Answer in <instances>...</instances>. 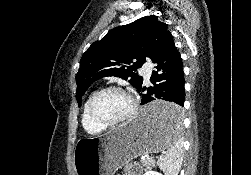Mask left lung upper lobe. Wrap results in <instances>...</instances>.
Masks as SVG:
<instances>
[{
    "label": "left lung upper lobe",
    "instance_id": "5c2ea615",
    "mask_svg": "<svg viewBox=\"0 0 251 175\" xmlns=\"http://www.w3.org/2000/svg\"><path fill=\"white\" fill-rule=\"evenodd\" d=\"M169 34L167 24L151 15L114 28L94 42L83 54L76 75L79 106L90 84L102 77L117 76L125 80L131 77L129 82L140 89L143 78L138 76L137 69L160 52ZM130 63L132 66L125 65Z\"/></svg>",
    "mask_w": 251,
    "mask_h": 175
}]
</instances>
